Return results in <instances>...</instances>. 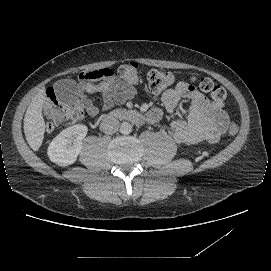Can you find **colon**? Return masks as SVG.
<instances>
[{"mask_svg": "<svg viewBox=\"0 0 271 271\" xmlns=\"http://www.w3.org/2000/svg\"><path fill=\"white\" fill-rule=\"evenodd\" d=\"M118 76L127 86H135L140 82V71L138 64L129 62L118 68ZM175 82V76L172 72L151 69L147 73V89L152 94H159L168 89ZM201 91L208 93L214 101L222 102L226 98V91L223 87L215 84L209 78H202L198 81ZM83 110L79 106L62 103L55 92L50 89L47 91L44 117L46 120V130L53 131L58 125L78 121L83 117ZM238 132V126L230 124L228 133L235 136Z\"/></svg>", "mask_w": 271, "mask_h": 271, "instance_id": "5ec220e1", "label": "colon"}]
</instances>
